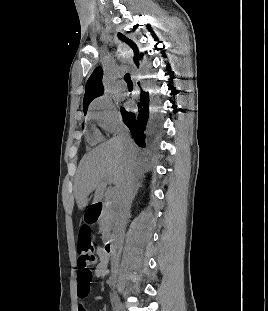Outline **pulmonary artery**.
Here are the masks:
<instances>
[{"mask_svg": "<svg viewBox=\"0 0 268 311\" xmlns=\"http://www.w3.org/2000/svg\"><path fill=\"white\" fill-rule=\"evenodd\" d=\"M117 88L120 90H124L126 88V85L123 82L119 81L117 83Z\"/></svg>", "mask_w": 268, "mask_h": 311, "instance_id": "1", "label": "pulmonary artery"}]
</instances>
